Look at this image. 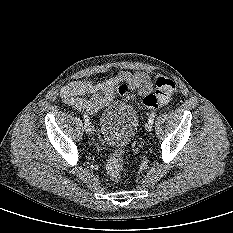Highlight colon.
<instances>
[{
	"label": "colon",
	"instance_id": "colon-1",
	"mask_svg": "<svg viewBox=\"0 0 233 233\" xmlns=\"http://www.w3.org/2000/svg\"><path fill=\"white\" fill-rule=\"evenodd\" d=\"M155 84V92L147 95L142 101V106L150 110L157 109L161 105L169 102L175 90L174 81L162 75L156 76ZM123 155V149L115 150L109 157L106 164L107 173L109 174L110 178L116 182L121 179L123 170Z\"/></svg>",
	"mask_w": 233,
	"mask_h": 233
}]
</instances>
